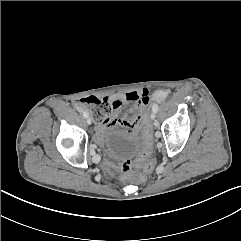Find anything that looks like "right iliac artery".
Returning <instances> with one entry per match:
<instances>
[{
	"instance_id": "1",
	"label": "right iliac artery",
	"mask_w": 241,
	"mask_h": 241,
	"mask_svg": "<svg viewBox=\"0 0 241 241\" xmlns=\"http://www.w3.org/2000/svg\"><path fill=\"white\" fill-rule=\"evenodd\" d=\"M83 116H84L85 118H87V117H88V113L83 112ZM93 153H94V152H93Z\"/></svg>"
}]
</instances>
